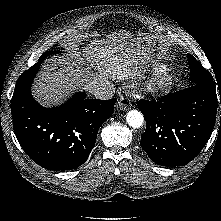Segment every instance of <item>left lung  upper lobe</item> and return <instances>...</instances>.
Masks as SVG:
<instances>
[{"mask_svg":"<svg viewBox=\"0 0 221 221\" xmlns=\"http://www.w3.org/2000/svg\"><path fill=\"white\" fill-rule=\"evenodd\" d=\"M188 63L190 68V80L192 85H202L205 88L216 92L213 77L200 62H198L191 54H188ZM218 92V91H217Z\"/></svg>","mask_w":221,"mask_h":221,"instance_id":"obj_1","label":"left lung upper lobe"}]
</instances>
